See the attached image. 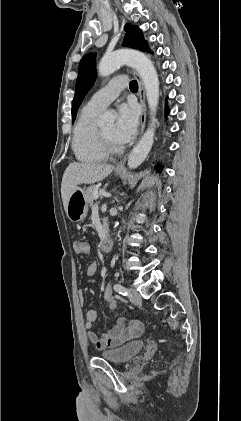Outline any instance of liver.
Instances as JSON below:
<instances>
[{
	"instance_id": "obj_1",
	"label": "liver",
	"mask_w": 241,
	"mask_h": 421,
	"mask_svg": "<svg viewBox=\"0 0 241 421\" xmlns=\"http://www.w3.org/2000/svg\"><path fill=\"white\" fill-rule=\"evenodd\" d=\"M113 168V165L110 164L70 163L63 174L61 183V196L65 211L69 197L78 185L100 182L112 172Z\"/></svg>"
}]
</instances>
